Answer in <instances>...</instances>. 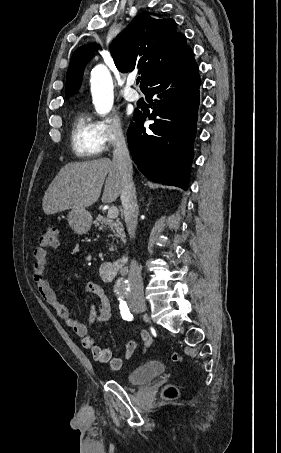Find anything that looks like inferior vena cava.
I'll use <instances>...</instances> for the list:
<instances>
[{"mask_svg": "<svg viewBox=\"0 0 281 453\" xmlns=\"http://www.w3.org/2000/svg\"><path fill=\"white\" fill-rule=\"evenodd\" d=\"M113 162H117L121 176V200L124 208V216L128 235L134 239L138 216V204L136 200L135 184L132 180V160L129 156L126 140L123 132L119 130L114 140ZM130 301H144L143 279L136 261H131L129 271Z\"/></svg>", "mask_w": 281, "mask_h": 453, "instance_id": "602c4592", "label": "inferior vena cava"}]
</instances>
